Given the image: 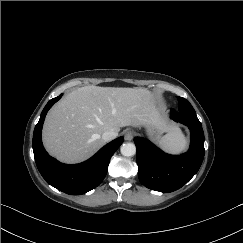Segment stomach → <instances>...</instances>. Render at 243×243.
I'll use <instances>...</instances> for the list:
<instances>
[{"mask_svg": "<svg viewBox=\"0 0 243 243\" xmlns=\"http://www.w3.org/2000/svg\"><path fill=\"white\" fill-rule=\"evenodd\" d=\"M144 128L152 140L159 141L162 134L167 130V125L158 113L153 112L144 124Z\"/></svg>", "mask_w": 243, "mask_h": 243, "instance_id": "stomach-1", "label": "stomach"}]
</instances>
